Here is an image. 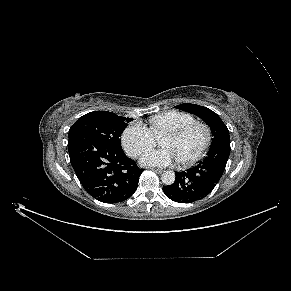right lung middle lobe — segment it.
<instances>
[{
  "instance_id": "right-lung-middle-lobe-1",
  "label": "right lung middle lobe",
  "mask_w": 291,
  "mask_h": 291,
  "mask_svg": "<svg viewBox=\"0 0 291 291\" xmlns=\"http://www.w3.org/2000/svg\"><path fill=\"white\" fill-rule=\"evenodd\" d=\"M132 120L108 111L90 112L72 125L69 138L76 134H86L122 150L120 136Z\"/></svg>"
}]
</instances>
